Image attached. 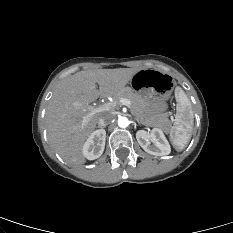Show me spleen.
<instances>
[{
  "label": "spleen",
  "instance_id": "obj_1",
  "mask_svg": "<svg viewBox=\"0 0 233 233\" xmlns=\"http://www.w3.org/2000/svg\"><path fill=\"white\" fill-rule=\"evenodd\" d=\"M175 96L178 102L177 114L174 125L170 129L169 138L176 150L182 151L191 139L194 125V114L191 102L182 88L175 89Z\"/></svg>",
  "mask_w": 233,
  "mask_h": 233
}]
</instances>
